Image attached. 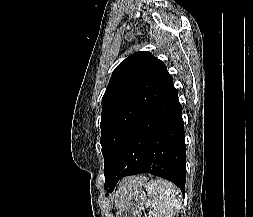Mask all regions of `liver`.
<instances>
[{"mask_svg": "<svg viewBox=\"0 0 253 217\" xmlns=\"http://www.w3.org/2000/svg\"><path fill=\"white\" fill-rule=\"evenodd\" d=\"M146 181V178L143 176H132L123 179L118 187L116 194L117 200L123 199L129 195L133 189L137 187H142L143 183Z\"/></svg>", "mask_w": 253, "mask_h": 217, "instance_id": "liver-1", "label": "liver"}]
</instances>
